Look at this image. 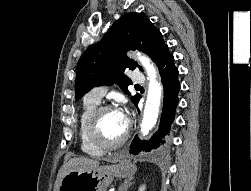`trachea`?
Listing matches in <instances>:
<instances>
[{"instance_id": "obj_1", "label": "trachea", "mask_w": 251, "mask_h": 191, "mask_svg": "<svg viewBox=\"0 0 251 191\" xmlns=\"http://www.w3.org/2000/svg\"><path fill=\"white\" fill-rule=\"evenodd\" d=\"M136 87H140V85H135V88H136Z\"/></svg>"}]
</instances>
